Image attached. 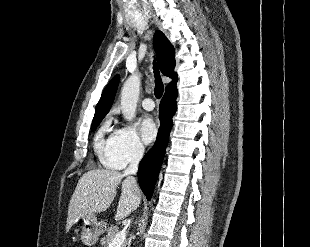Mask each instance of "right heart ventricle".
I'll list each match as a JSON object with an SVG mask.
<instances>
[{
	"label": "right heart ventricle",
	"instance_id": "e07e8e85",
	"mask_svg": "<svg viewBox=\"0 0 310 247\" xmlns=\"http://www.w3.org/2000/svg\"><path fill=\"white\" fill-rule=\"evenodd\" d=\"M109 131H110V122L106 121L97 131L94 137V143H93L94 151L102 161L108 154L113 136V134H109Z\"/></svg>",
	"mask_w": 310,
	"mask_h": 247
}]
</instances>
